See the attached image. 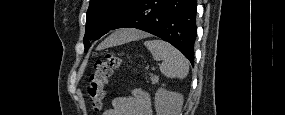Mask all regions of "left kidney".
<instances>
[{
  "instance_id": "obj_1",
  "label": "left kidney",
  "mask_w": 285,
  "mask_h": 115,
  "mask_svg": "<svg viewBox=\"0 0 285 115\" xmlns=\"http://www.w3.org/2000/svg\"><path fill=\"white\" fill-rule=\"evenodd\" d=\"M183 105V96L159 88L155 94V109L157 115H179Z\"/></svg>"
}]
</instances>
